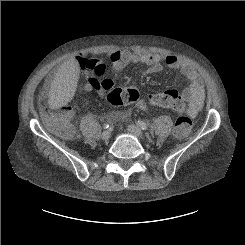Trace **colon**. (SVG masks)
Segmentation results:
<instances>
[{
	"label": "colon",
	"mask_w": 245,
	"mask_h": 245,
	"mask_svg": "<svg viewBox=\"0 0 245 245\" xmlns=\"http://www.w3.org/2000/svg\"><path fill=\"white\" fill-rule=\"evenodd\" d=\"M76 62L81 72L87 76H98L104 72L105 66L98 60L79 56L76 58ZM92 86L97 92H104L108 103L113 107H120L138 98V91L134 85L116 88L94 78ZM148 99L153 105L171 109L178 115L174 127L175 137L183 139L189 135L192 121L186 114L187 107L182 96L176 90L154 92L149 95ZM69 115L70 108L67 104H61L56 109L48 111L47 126L49 130L64 139L71 138L74 130L68 121Z\"/></svg>",
	"instance_id": "colon-1"
}]
</instances>
